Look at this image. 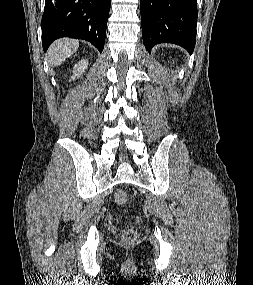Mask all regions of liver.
<instances>
[{
	"label": "liver",
	"instance_id": "1",
	"mask_svg": "<svg viewBox=\"0 0 253 285\" xmlns=\"http://www.w3.org/2000/svg\"><path fill=\"white\" fill-rule=\"evenodd\" d=\"M79 42L71 39H59L55 41L49 50L48 62L50 66H58L77 51Z\"/></svg>",
	"mask_w": 253,
	"mask_h": 285
}]
</instances>
